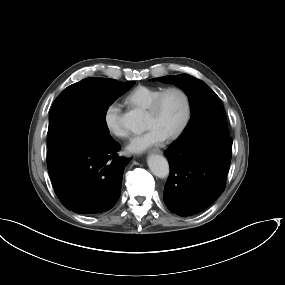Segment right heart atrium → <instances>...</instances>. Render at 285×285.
<instances>
[{"label":"right heart atrium","instance_id":"obj_1","mask_svg":"<svg viewBox=\"0 0 285 285\" xmlns=\"http://www.w3.org/2000/svg\"><path fill=\"white\" fill-rule=\"evenodd\" d=\"M120 114L121 109L118 104L110 103L104 110L103 119L106 129L111 135L124 139L128 136V132L121 123Z\"/></svg>","mask_w":285,"mask_h":285}]
</instances>
